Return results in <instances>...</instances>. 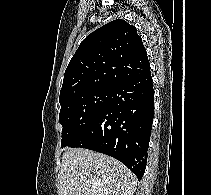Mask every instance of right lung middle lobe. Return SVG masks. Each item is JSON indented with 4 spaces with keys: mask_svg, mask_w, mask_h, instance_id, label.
Listing matches in <instances>:
<instances>
[{
    "mask_svg": "<svg viewBox=\"0 0 211 195\" xmlns=\"http://www.w3.org/2000/svg\"><path fill=\"white\" fill-rule=\"evenodd\" d=\"M110 89H90L60 102L61 147L71 146L107 106Z\"/></svg>",
    "mask_w": 211,
    "mask_h": 195,
    "instance_id": "1",
    "label": "right lung middle lobe"
}]
</instances>
